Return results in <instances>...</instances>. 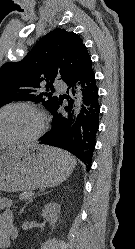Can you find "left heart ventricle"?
<instances>
[{
    "instance_id": "left-heart-ventricle-1",
    "label": "left heart ventricle",
    "mask_w": 135,
    "mask_h": 249,
    "mask_svg": "<svg viewBox=\"0 0 135 249\" xmlns=\"http://www.w3.org/2000/svg\"><path fill=\"white\" fill-rule=\"evenodd\" d=\"M38 129L34 113L22 108H10L0 113V140L32 136Z\"/></svg>"
}]
</instances>
